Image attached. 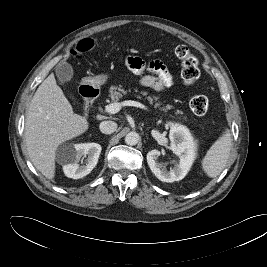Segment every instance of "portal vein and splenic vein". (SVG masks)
I'll return each mask as SVG.
<instances>
[{"mask_svg":"<svg viewBox=\"0 0 267 267\" xmlns=\"http://www.w3.org/2000/svg\"><path fill=\"white\" fill-rule=\"evenodd\" d=\"M122 106H134L137 108L148 110L147 106H145L144 104L137 101L128 100L121 103H111L105 107V111L109 114H115L121 110Z\"/></svg>","mask_w":267,"mask_h":267,"instance_id":"portal-vein-and-splenic-vein-1","label":"portal vein and splenic vein"}]
</instances>
